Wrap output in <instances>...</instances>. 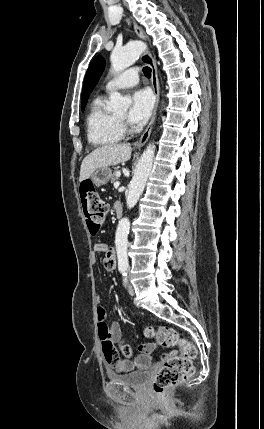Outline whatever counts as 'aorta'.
Listing matches in <instances>:
<instances>
[{"mask_svg":"<svg viewBox=\"0 0 264 429\" xmlns=\"http://www.w3.org/2000/svg\"><path fill=\"white\" fill-rule=\"evenodd\" d=\"M145 47L146 45L142 41H132L124 47L113 49L110 57L112 70L114 72H119L131 66L139 58ZM130 103V98L124 97L118 92H113L110 95L108 108L111 111H123L129 107ZM154 154L155 146L154 144H149L137 163L134 176L129 184L127 195V207L129 209L136 205L145 188L152 169ZM129 230L130 221L128 218L124 217L119 221L115 234L119 269H127L129 266L127 255Z\"/></svg>","mask_w":264,"mask_h":429,"instance_id":"1","label":"aorta"}]
</instances>
